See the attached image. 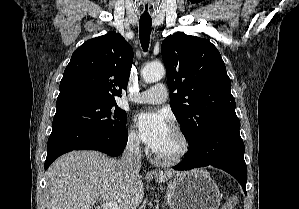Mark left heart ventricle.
I'll return each mask as SVG.
<instances>
[{"label": "left heart ventricle", "instance_id": "b2bd125f", "mask_svg": "<svg viewBox=\"0 0 299 209\" xmlns=\"http://www.w3.org/2000/svg\"><path fill=\"white\" fill-rule=\"evenodd\" d=\"M181 144L176 134L170 130L164 141L154 150L160 155H171L179 150Z\"/></svg>", "mask_w": 299, "mask_h": 209}]
</instances>
